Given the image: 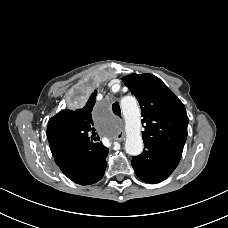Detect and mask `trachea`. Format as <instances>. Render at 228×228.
<instances>
[{
    "label": "trachea",
    "instance_id": "obj_1",
    "mask_svg": "<svg viewBox=\"0 0 228 228\" xmlns=\"http://www.w3.org/2000/svg\"><path fill=\"white\" fill-rule=\"evenodd\" d=\"M113 113L121 118V109L118 102L113 103L112 105Z\"/></svg>",
    "mask_w": 228,
    "mask_h": 228
}]
</instances>
